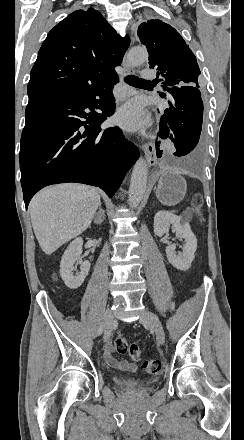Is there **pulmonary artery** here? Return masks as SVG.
Listing matches in <instances>:
<instances>
[{"instance_id": "e3ab8cb5", "label": "pulmonary artery", "mask_w": 244, "mask_h": 440, "mask_svg": "<svg viewBox=\"0 0 244 440\" xmlns=\"http://www.w3.org/2000/svg\"><path fill=\"white\" fill-rule=\"evenodd\" d=\"M138 75L141 78H151L152 71H151V69H141V70H139Z\"/></svg>"}]
</instances>
